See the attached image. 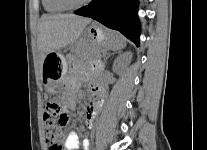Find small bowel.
Returning <instances> with one entry per match:
<instances>
[{
	"label": "small bowel",
	"mask_w": 207,
	"mask_h": 150,
	"mask_svg": "<svg viewBox=\"0 0 207 150\" xmlns=\"http://www.w3.org/2000/svg\"><path fill=\"white\" fill-rule=\"evenodd\" d=\"M82 76H76L69 80V92L66 95V102L69 108L74 109L76 107V93L80 87ZM93 99L87 106L85 123L88 127H91L99 109L102 105V97L104 95V88L98 83H92L90 87ZM82 150H91L92 140L82 141ZM66 150H77L79 146L78 135L74 131H70L65 139Z\"/></svg>",
	"instance_id": "obj_1"
}]
</instances>
